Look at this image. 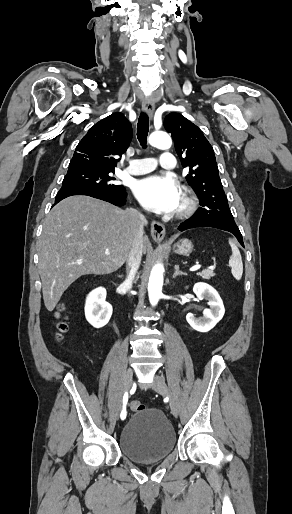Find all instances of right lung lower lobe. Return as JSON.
I'll return each instance as SVG.
<instances>
[{"label":"right lung lower lobe","instance_id":"1","mask_svg":"<svg viewBox=\"0 0 292 514\" xmlns=\"http://www.w3.org/2000/svg\"><path fill=\"white\" fill-rule=\"evenodd\" d=\"M73 195H87L97 199L110 202L117 206H123L126 203L127 193L125 188L117 191H104L99 189L84 188V187H70L62 188L59 190L55 197V204L62 199ZM54 204V205H55ZM53 205V206H54Z\"/></svg>","mask_w":292,"mask_h":514}]
</instances>
